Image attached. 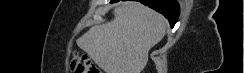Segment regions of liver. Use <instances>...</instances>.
Returning a JSON list of instances; mask_svg holds the SVG:
<instances>
[{
    "label": "liver",
    "instance_id": "1",
    "mask_svg": "<svg viewBox=\"0 0 244 73\" xmlns=\"http://www.w3.org/2000/svg\"><path fill=\"white\" fill-rule=\"evenodd\" d=\"M113 13V20L89 29L77 39V45L105 73H141L150 49L164 37L168 22L134 1L118 3Z\"/></svg>",
    "mask_w": 244,
    "mask_h": 73
}]
</instances>
